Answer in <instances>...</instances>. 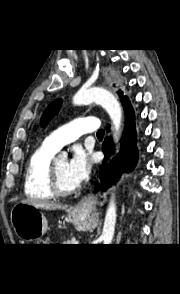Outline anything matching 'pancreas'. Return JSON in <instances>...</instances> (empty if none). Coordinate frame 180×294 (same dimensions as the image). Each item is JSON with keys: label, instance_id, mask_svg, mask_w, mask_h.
I'll return each mask as SVG.
<instances>
[{"label": "pancreas", "instance_id": "pancreas-1", "mask_svg": "<svg viewBox=\"0 0 180 294\" xmlns=\"http://www.w3.org/2000/svg\"><path fill=\"white\" fill-rule=\"evenodd\" d=\"M65 244H70V242H65Z\"/></svg>", "mask_w": 180, "mask_h": 294}]
</instances>
